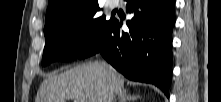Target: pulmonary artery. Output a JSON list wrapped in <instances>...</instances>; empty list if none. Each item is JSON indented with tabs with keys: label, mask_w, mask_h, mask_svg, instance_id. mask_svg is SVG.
<instances>
[{
	"label": "pulmonary artery",
	"mask_w": 221,
	"mask_h": 102,
	"mask_svg": "<svg viewBox=\"0 0 221 102\" xmlns=\"http://www.w3.org/2000/svg\"><path fill=\"white\" fill-rule=\"evenodd\" d=\"M108 5H109L111 8H115V7L118 5V0H109V1H108Z\"/></svg>",
	"instance_id": "e3ab8cb5"
}]
</instances>
